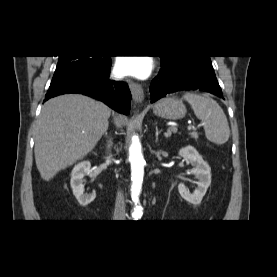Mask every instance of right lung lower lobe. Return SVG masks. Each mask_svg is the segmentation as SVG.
<instances>
[{
	"mask_svg": "<svg viewBox=\"0 0 277 277\" xmlns=\"http://www.w3.org/2000/svg\"><path fill=\"white\" fill-rule=\"evenodd\" d=\"M111 59L94 73L76 82L49 88L45 100L65 93H80L101 100L114 110L129 114L131 93L124 82L109 79Z\"/></svg>",
	"mask_w": 277,
	"mask_h": 277,
	"instance_id": "98d812e1",
	"label": "right lung lower lobe"
}]
</instances>
